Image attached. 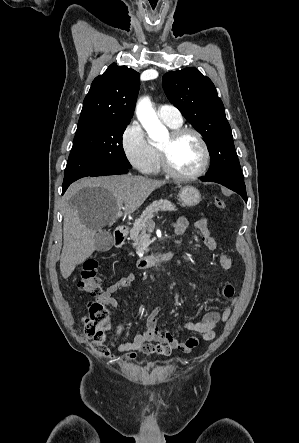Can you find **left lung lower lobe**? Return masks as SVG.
Instances as JSON below:
<instances>
[{
  "instance_id": "left-lung-lower-lobe-1",
  "label": "left lung lower lobe",
  "mask_w": 299,
  "mask_h": 443,
  "mask_svg": "<svg viewBox=\"0 0 299 443\" xmlns=\"http://www.w3.org/2000/svg\"><path fill=\"white\" fill-rule=\"evenodd\" d=\"M202 181L216 182L226 186L227 188L237 192L247 203V194L244 178L234 176H205L200 178Z\"/></svg>"
}]
</instances>
